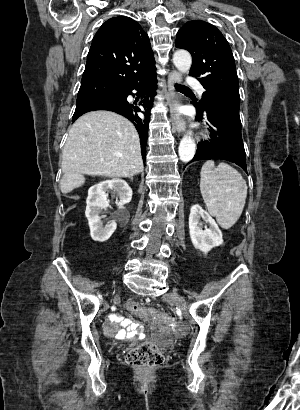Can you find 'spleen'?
Wrapping results in <instances>:
<instances>
[{
  "label": "spleen",
  "instance_id": "obj_1",
  "mask_svg": "<svg viewBox=\"0 0 300 410\" xmlns=\"http://www.w3.org/2000/svg\"><path fill=\"white\" fill-rule=\"evenodd\" d=\"M200 191L208 212L218 224L231 228L239 219L247 197V184L241 174L227 163L214 169V161H207L201 169Z\"/></svg>",
  "mask_w": 300,
  "mask_h": 410
}]
</instances>
